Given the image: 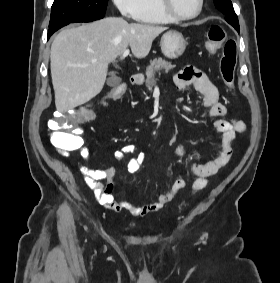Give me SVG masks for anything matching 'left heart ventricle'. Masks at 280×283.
Instances as JSON below:
<instances>
[{"label":"left heart ventricle","instance_id":"b2bd125f","mask_svg":"<svg viewBox=\"0 0 280 283\" xmlns=\"http://www.w3.org/2000/svg\"><path fill=\"white\" fill-rule=\"evenodd\" d=\"M174 10L181 15L193 14L199 4V0H171Z\"/></svg>","mask_w":280,"mask_h":283}]
</instances>
